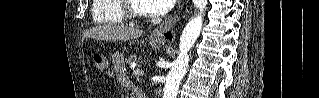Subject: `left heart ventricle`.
I'll return each instance as SVG.
<instances>
[{"label": "left heart ventricle", "instance_id": "obj_1", "mask_svg": "<svg viewBox=\"0 0 319 98\" xmlns=\"http://www.w3.org/2000/svg\"><path fill=\"white\" fill-rule=\"evenodd\" d=\"M134 6H135V8L138 9V10H144V8L142 7L140 1H134Z\"/></svg>", "mask_w": 319, "mask_h": 98}]
</instances>
